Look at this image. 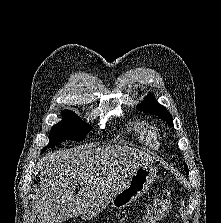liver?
<instances>
[{"label":"liver","instance_id":"liver-1","mask_svg":"<svg viewBox=\"0 0 221 223\" xmlns=\"http://www.w3.org/2000/svg\"><path fill=\"white\" fill-rule=\"evenodd\" d=\"M153 161L149 152L120 145L78 146L46 154L38 163L42 172L37 223H62L77 216L94 218L138 167Z\"/></svg>","mask_w":221,"mask_h":223}]
</instances>
